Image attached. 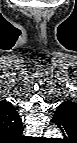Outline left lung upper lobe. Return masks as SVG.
I'll return each mask as SVG.
<instances>
[{
    "instance_id": "obj_1",
    "label": "left lung upper lobe",
    "mask_w": 77,
    "mask_h": 143,
    "mask_svg": "<svg viewBox=\"0 0 77 143\" xmlns=\"http://www.w3.org/2000/svg\"><path fill=\"white\" fill-rule=\"evenodd\" d=\"M66 102H71V101H66ZM73 103V102H71ZM62 132L64 133V136L68 137L70 135V130H71V125L70 124H65L62 127H60Z\"/></svg>"
}]
</instances>
